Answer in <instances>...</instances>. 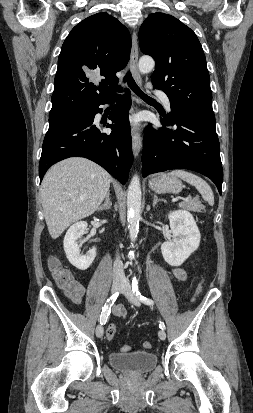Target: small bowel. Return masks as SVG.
<instances>
[{"mask_svg": "<svg viewBox=\"0 0 253 413\" xmlns=\"http://www.w3.org/2000/svg\"><path fill=\"white\" fill-rule=\"evenodd\" d=\"M171 273L172 276L179 281L186 280V272L182 268H173ZM61 288L72 303L76 305L81 304L86 292V289L81 282L74 279L70 284H68L67 286H63ZM112 313L115 316L122 318L126 317L127 315L126 309L121 305L114 306L112 309Z\"/></svg>", "mask_w": 253, "mask_h": 413, "instance_id": "1", "label": "small bowel"}]
</instances>
